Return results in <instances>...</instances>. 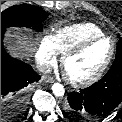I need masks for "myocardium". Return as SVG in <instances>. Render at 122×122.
I'll use <instances>...</instances> for the list:
<instances>
[{
	"instance_id": "f54148a6",
	"label": "myocardium",
	"mask_w": 122,
	"mask_h": 122,
	"mask_svg": "<svg viewBox=\"0 0 122 122\" xmlns=\"http://www.w3.org/2000/svg\"><path fill=\"white\" fill-rule=\"evenodd\" d=\"M101 40H108L111 43V51H110V54H109L107 60L105 61V63L93 75H91L85 79L76 80V79H73L70 76H68L67 73L65 72V67H66L68 60L74 56L79 55L90 45H92L96 42H99ZM115 49H116L115 41L111 37L106 36V35L87 39V40L81 42L80 44L76 45L75 47L71 48L65 54H63L62 59H61V64L64 69L66 79L68 80V82L71 85H73L75 87H85V86H89V85L95 83L103 76V74L106 72V70L110 66V64L113 60V57L115 55Z\"/></svg>"
}]
</instances>
